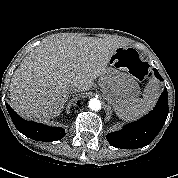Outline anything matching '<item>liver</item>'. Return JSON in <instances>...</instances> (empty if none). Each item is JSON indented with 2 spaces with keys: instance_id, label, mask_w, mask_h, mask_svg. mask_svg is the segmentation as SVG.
<instances>
[{
  "instance_id": "6515ba94",
  "label": "liver",
  "mask_w": 178,
  "mask_h": 178,
  "mask_svg": "<svg viewBox=\"0 0 178 178\" xmlns=\"http://www.w3.org/2000/svg\"><path fill=\"white\" fill-rule=\"evenodd\" d=\"M123 44L95 37H59L35 47L14 72L12 108L21 116L50 119L60 114L74 86L88 91Z\"/></svg>"
}]
</instances>
